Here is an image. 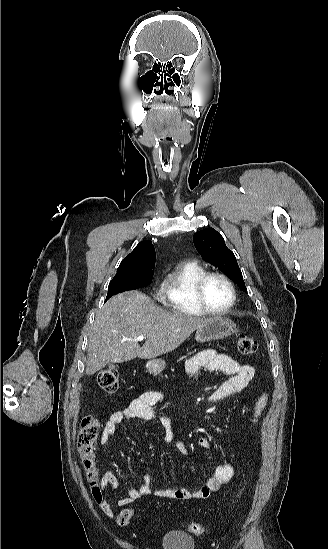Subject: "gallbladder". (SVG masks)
<instances>
[{
  "label": "gallbladder",
  "instance_id": "1",
  "mask_svg": "<svg viewBox=\"0 0 328 549\" xmlns=\"http://www.w3.org/2000/svg\"><path fill=\"white\" fill-rule=\"evenodd\" d=\"M110 369H115L116 365H113V363H109Z\"/></svg>",
  "mask_w": 328,
  "mask_h": 549
}]
</instances>
